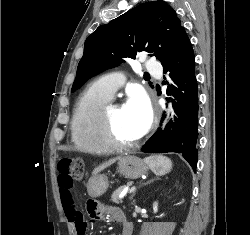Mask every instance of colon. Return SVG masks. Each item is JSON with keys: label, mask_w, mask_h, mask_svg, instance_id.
<instances>
[{"label": "colon", "mask_w": 250, "mask_h": 235, "mask_svg": "<svg viewBox=\"0 0 250 235\" xmlns=\"http://www.w3.org/2000/svg\"><path fill=\"white\" fill-rule=\"evenodd\" d=\"M58 171L59 186L61 188H71L74 182L79 181L83 178V161L79 158L61 160L58 163ZM78 232L80 233V235H83L81 225H78Z\"/></svg>", "instance_id": "5ec220e1"}]
</instances>
